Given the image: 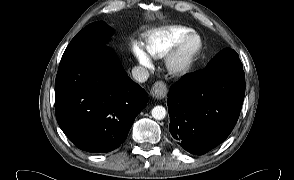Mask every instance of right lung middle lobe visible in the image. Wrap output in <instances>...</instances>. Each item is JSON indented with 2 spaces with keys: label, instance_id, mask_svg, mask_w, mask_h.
I'll list each match as a JSON object with an SVG mask.
<instances>
[{
  "label": "right lung middle lobe",
  "instance_id": "1",
  "mask_svg": "<svg viewBox=\"0 0 294 180\" xmlns=\"http://www.w3.org/2000/svg\"><path fill=\"white\" fill-rule=\"evenodd\" d=\"M114 31L105 22H94L82 29L70 42L62 58L88 49L104 47Z\"/></svg>",
  "mask_w": 294,
  "mask_h": 180
}]
</instances>
